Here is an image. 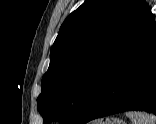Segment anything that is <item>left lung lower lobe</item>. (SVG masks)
<instances>
[{
    "label": "left lung lower lobe",
    "mask_w": 156,
    "mask_h": 124,
    "mask_svg": "<svg viewBox=\"0 0 156 124\" xmlns=\"http://www.w3.org/2000/svg\"><path fill=\"white\" fill-rule=\"evenodd\" d=\"M129 110L156 115L155 20L114 64L79 124Z\"/></svg>",
    "instance_id": "left-lung-lower-lobe-1"
}]
</instances>
